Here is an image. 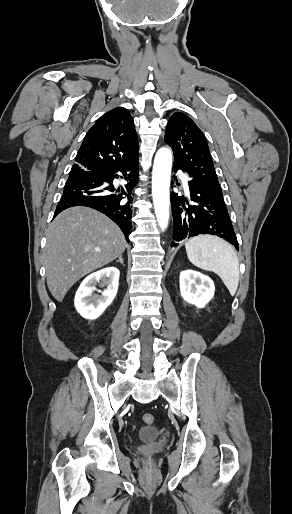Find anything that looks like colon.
<instances>
[{
	"instance_id": "1",
	"label": "colon",
	"mask_w": 292,
	"mask_h": 514,
	"mask_svg": "<svg viewBox=\"0 0 292 514\" xmlns=\"http://www.w3.org/2000/svg\"><path fill=\"white\" fill-rule=\"evenodd\" d=\"M142 420L145 424L151 425L154 422V416L150 412H145L142 414Z\"/></svg>"
}]
</instances>
